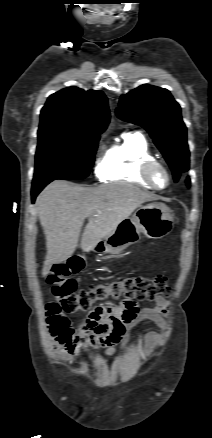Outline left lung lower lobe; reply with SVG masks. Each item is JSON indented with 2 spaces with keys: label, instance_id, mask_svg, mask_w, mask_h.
Returning a JSON list of instances; mask_svg holds the SVG:
<instances>
[{
  "label": "left lung lower lobe",
  "instance_id": "1",
  "mask_svg": "<svg viewBox=\"0 0 212 438\" xmlns=\"http://www.w3.org/2000/svg\"><path fill=\"white\" fill-rule=\"evenodd\" d=\"M190 183V180L189 179H187V184H189Z\"/></svg>",
  "mask_w": 212,
  "mask_h": 438
}]
</instances>
